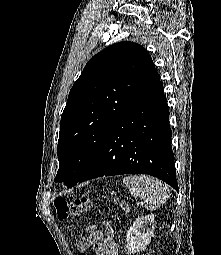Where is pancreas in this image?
Wrapping results in <instances>:
<instances>
[{
  "label": "pancreas",
  "mask_w": 221,
  "mask_h": 255,
  "mask_svg": "<svg viewBox=\"0 0 221 255\" xmlns=\"http://www.w3.org/2000/svg\"><path fill=\"white\" fill-rule=\"evenodd\" d=\"M119 206H120V208H121L125 213H129V212H130V209H129L128 205L123 206L122 203H119Z\"/></svg>",
  "instance_id": "cf45deb5"
}]
</instances>
